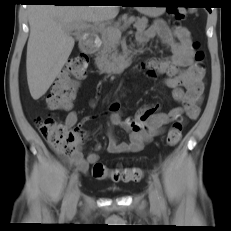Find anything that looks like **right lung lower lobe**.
<instances>
[{
    "label": "right lung lower lobe",
    "instance_id": "right-lung-lower-lobe-1",
    "mask_svg": "<svg viewBox=\"0 0 231 231\" xmlns=\"http://www.w3.org/2000/svg\"><path fill=\"white\" fill-rule=\"evenodd\" d=\"M30 3H52L54 5H81L80 0H27Z\"/></svg>",
    "mask_w": 231,
    "mask_h": 231
}]
</instances>
